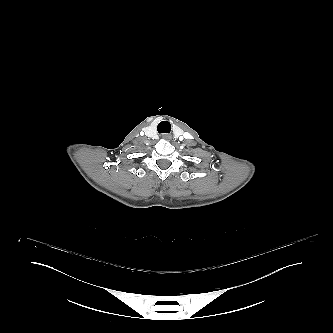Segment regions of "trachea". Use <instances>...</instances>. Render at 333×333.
Here are the masks:
<instances>
[{"instance_id":"3493384b","label":"trachea","mask_w":333,"mask_h":333,"mask_svg":"<svg viewBox=\"0 0 333 333\" xmlns=\"http://www.w3.org/2000/svg\"><path fill=\"white\" fill-rule=\"evenodd\" d=\"M170 123L168 121H161L158 126L157 130L159 133H170Z\"/></svg>"}]
</instances>
